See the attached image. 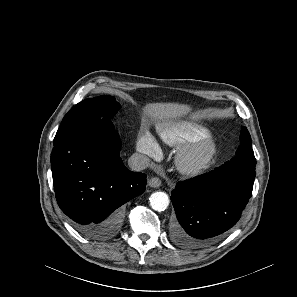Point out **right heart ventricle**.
<instances>
[{
  "label": "right heart ventricle",
  "mask_w": 297,
  "mask_h": 297,
  "mask_svg": "<svg viewBox=\"0 0 297 297\" xmlns=\"http://www.w3.org/2000/svg\"><path fill=\"white\" fill-rule=\"evenodd\" d=\"M158 133L163 142L179 147L208 136L209 131L196 122L186 120L166 123L158 128Z\"/></svg>",
  "instance_id": "1"
}]
</instances>
